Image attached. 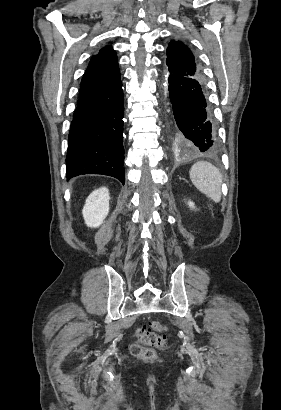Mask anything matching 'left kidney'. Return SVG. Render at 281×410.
Listing matches in <instances>:
<instances>
[{"label": "left kidney", "instance_id": "left-kidney-1", "mask_svg": "<svg viewBox=\"0 0 281 410\" xmlns=\"http://www.w3.org/2000/svg\"><path fill=\"white\" fill-rule=\"evenodd\" d=\"M188 205H189L190 208H194V203L193 202L189 201Z\"/></svg>", "mask_w": 281, "mask_h": 410}]
</instances>
